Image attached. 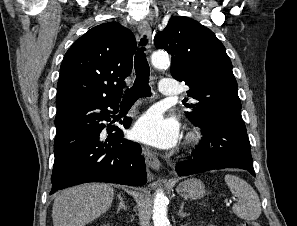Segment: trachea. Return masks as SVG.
Returning a JSON list of instances; mask_svg holds the SVG:
<instances>
[{
    "mask_svg": "<svg viewBox=\"0 0 297 226\" xmlns=\"http://www.w3.org/2000/svg\"><path fill=\"white\" fill-rule=\"evenodd\" d=\"M147 44V38L144 36L141 38V48L135 55L134 68L136 72V79L133 86L127 89L124 94L122 104H133L140 97L150 96L151 89L149 86L150 68L144 53L145 45Z\"/></svg>",
    "mask_w": 297,
    "mask_h": 226,
    "instance_id": "obj_1",
    "label": "trachea"
}]
</instances>
